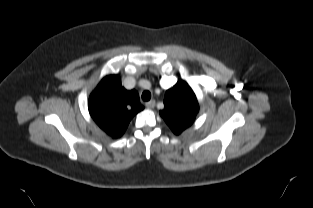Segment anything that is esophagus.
Listing matches in <instances>:
<instances>
[{
  "label": "esophagus",
  "instance_id": "34e87169",
  "mask_svg": "<svg viewBox=\"0 0 313 208\" xmlns=\"http://www.w3.org/2000/svg\"><path fill=\"white\" fill-rule=\"evenodd\" d=\"M145 106H146L148 109L154 108V106H155V100H151V101H149V102H146V103H145Z\"/></svg>",
  "mask_w": 313,
  "mask_h": 208
}]
</instances>
